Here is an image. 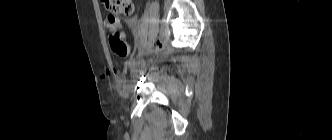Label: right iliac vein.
<instances>
[{"label": "right iliac vein", "instance_id": "obj_1", "mask_svg": "<svg viewBox=\"0 0 332 140\" xmlns=\"http://www.w3.org/2000/svg\"><path fill=\"white\" fill-rule=\"evenodd\" d=\"M144 65H145L144 60H141V61L135 63L134 66H133L132 69H131V74H132L133 76H135L136 73H137V71H138V69H139L140 67L144 66Z\"/></svg>", "mask_w": 332, "mask_h": 140}]
</instances>
